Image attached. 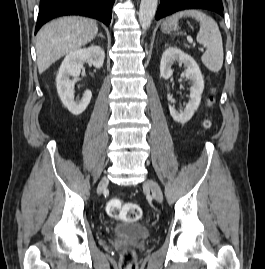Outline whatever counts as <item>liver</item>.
<instances>
[{
	"mask_svg": "<svg viewBox=\"0 0 265 269\" xmlns=\"http://www.w3.org/2000/svg\"><path fill=\"white\" fill-rule=\"evenodd\" d=\"M98 32L94 20L84 17H63L44 25L37 33L38 71L42 74L62 56L92 41Z\"/></svg>",
	"mask_w": 265,
	"mask_h": 269,
	"instance_id": "liver-1",
	"label": "liver"
}]
</instances>
